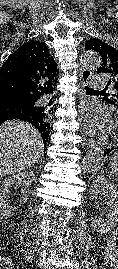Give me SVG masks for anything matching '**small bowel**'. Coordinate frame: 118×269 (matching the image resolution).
I'll use <instances>...</instances> for the list:
<instances>
[{"mask_svg": "<svg viewBox=\"0 0 118 269\" xmlns=\"http://www.w3.org/2000/svg\"><path fill=\"white\" fill-rule=\"evenodd\" d=\"M115 240H116V235L115 234L110 235L109 243H110L111 246H115V243H114Z\"/></svg>", "mask_w": 118, "mask_h": 269, "instance_id": "small-bowel-1", "label": "small bowel"}]
</instances>
